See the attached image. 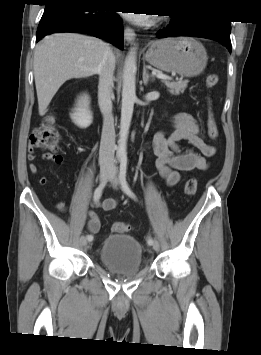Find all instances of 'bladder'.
Returning a JSON list of instances; mask_svg holds the SVG:
<instances>
[{
  "label": "bladder",
  "mask_w": 261,
  "mask_h": 355,
  "mask_svg": "<svg viewBox=\"0 0 261 355\" xmlns=\"http://www.w3.org/2000/svg\"><path fill=\"white\" fill-rule=\"evenodd\" d=\"M99 257L109 271L120 277H134L142 269V246L130 235H108L101 245Z\"/></svg>",
  "instance_id": "31cf9c89"
}]
</instances>
